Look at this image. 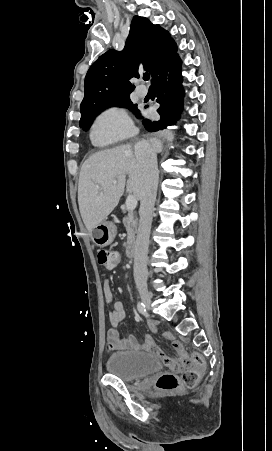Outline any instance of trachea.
I'll use <instances>...</instances> for the list:
<instances>
[{
	"label": "trachea",
	"mask_w": 272,
	"mask_h": 451,
	"mask_svg": "<svg viewBox=\"0 0 272 451\" xmlns=\"http://www.w3.org/2000/svg\"><path fill=\"white\" fill-rule=\"evenodd\" d=\"M149 78H150V75H149V73H144L143 74V80H149Z\"/></svg>",
	"instance_id": "1"
}]
</instances>
